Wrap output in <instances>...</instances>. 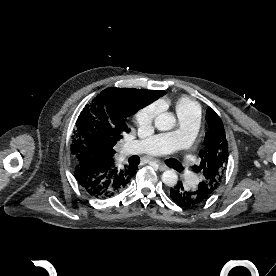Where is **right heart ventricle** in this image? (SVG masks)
<instances>
[{"instance_id":"e07e8e85","label":"right heart ventricle","mask_w":276,"mask_h":276,"mask_svg":"<svg viewBox=\"0 0 276 276\" xmlns=\"http://www.w3.org/2000/svg\"><path fill=\"white\" fill-rule=\"evenodd\" d=\"M175 109L178 116L183 114H200V105L197 102L187 98L177 100Z\"/></svg>"}]
</instances>
